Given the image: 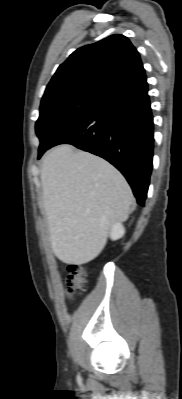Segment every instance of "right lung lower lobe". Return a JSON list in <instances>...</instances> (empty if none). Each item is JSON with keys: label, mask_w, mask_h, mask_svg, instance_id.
<instances>
[{"label": "right lung lower lobe", "mask_w": 182, "mask_h": 399, "mask_svg": "<svg viewBox=\"0 0 182 399\" xmlns=\"http://www.w3.org/2000/svg\"><path fill=\"white\" fill-rule=\"evenodd\" d=\"M153 129L146 82L105 98L100 107L60 131L49 148L67 143L106 159L121 171L137 203L144 206L152 171Z\"/></svg>", "instance_id": "98d812e1"}]
</instances>
